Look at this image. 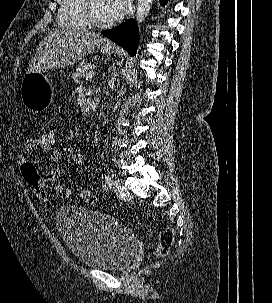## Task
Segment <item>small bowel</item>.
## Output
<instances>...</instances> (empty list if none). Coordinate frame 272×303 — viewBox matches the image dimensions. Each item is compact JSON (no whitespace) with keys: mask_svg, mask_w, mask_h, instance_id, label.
I'll return each mask as SVG.
<instances>
[{"mask_svg":"<svg viewBox=\"0 0 272 303\" xmlns=\"http://www.w3.org/2000/svg\"><path fill=\"white\" fill-rule=\"evenodd\" d=\"M37 150H40V151L48 154L50 161L53 163L60 162V160L62 158V154L57 148H45L39 143L38 139L36 137H34V138L27 139L21 146V148L17 154V157H16L17 163L20 166L24 165L26 163V154L29 152H32V151H37ZM44 175L47 177V182H54L59 178L60 171L52 170ZM41 201L44 203L48 202L49 196H47V195L41 196Z\"/></svg>","mask_w":272,"mask_h":303,"instance_id":"small-bowel-1","label":"small bowel"}]
</instances>
